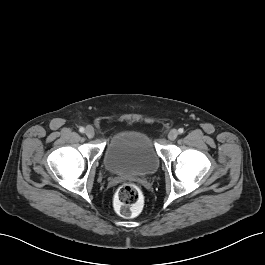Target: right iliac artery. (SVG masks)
<instances>
[{
	"label": "right iliac artery",
	"instance_id": "82829eb1",
	"mask_svg": "<svg viewBox=\"0 0 265 265\" xmlns=\"http://www.w3.org/2000/svg\"><path fill=\"white\" fill-rule=\"evenodd\" d=\"M79 131H80L81 133H84L85 129H84L83 127H80V128H79Z\"/></svg>",
	"mask_w": 265,
	"mask_h": 265
}]
</instances>
